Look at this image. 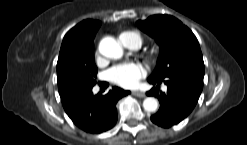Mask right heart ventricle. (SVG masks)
Returning a JSON list of instances; mask_svg holds the SVG:
<instances>
[{"label":"right heart ventricle","instance_id":"e07e8e85","mask_svg":"<svg viewBox=\"0 0 247 145\" xmlns=\"http://www.w3.org/2000/svg\"><path fill=\"white\" fill-rule=\"evenodd\" d=\"M123 35H134V36L138 37L139 40H140V42H141V37H140V35H139L138 33H136V32L127 31V32L122 33V34L120 35V37L123 36Z\"/></svg>","mask_w":247,"mask_h":145}]
</instances>
